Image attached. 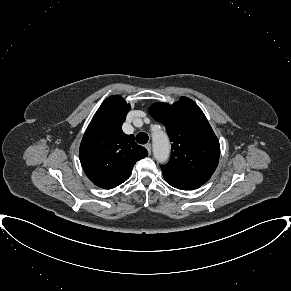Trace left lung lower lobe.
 <instances>
[{"mask_svg":"<svg viewBox=\"0 0 291 291\" xmlns=\"http://www.w3.org/2000/svg\"><path fill=\"white\" fill-rule=\"evenodd\" d=\"M164 179L166 180V182L168 184H170L171 186L177 188V189H181V190H194V189H197L199 188L201 185H198V184H194V183H191V182H187V181H183V180H180V179H176V178H172V177H169L167 175H164Z\"/></svg>","mask_w":291,"mask_h":291,"instance_id":"0a47b994","label":"left lung lower lobe"}]
</instances>
